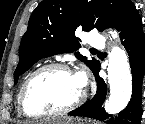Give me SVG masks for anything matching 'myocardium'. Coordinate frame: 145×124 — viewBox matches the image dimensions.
<instances>
[{
    "instance_id": "f54148a6",
    "label": "myocardium",
    "mask_w": 145,
    "mask_h": 124,
    "mask_svg": "<svg viewBox=\"0 0 145 124\" xmlns=\"http://www.w3.org/2000/svg\"><path fill=\"white\" fill-rule=\"evenodd\" d=\"M49 70H62V71L69 72L71 74L76 75L74 71L67 64L60 63V62L45 64L39 67L38 69H36L34 72H32L22 87V90L20 93V99H19L20 110L22 114L28 118H48V117H54V116L67 114L73 111L74 109H76L77 107H79L86 98V91L84 88H82L81 95L75 101H73L72 103H70L69 105L63 108H60L57 110L46 111V112H37V113L30 112L26 104L28 92L31 86L33 85V83L37 80V78L41 74Z\"/></svg>"
}]
</instances>
